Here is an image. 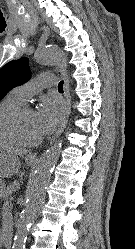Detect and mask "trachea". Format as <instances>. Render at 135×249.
<instances>
[{
  "label": "trachea",
  "instance_id": "obj_1",
  "mask_svg": "<svg viewBox=\"0 0 135 249\" xmlns=\"http://www.w3.org/2000/svg\"><path fill=\"white\" fill-rule=\"evenodd\" d=\"M58 90L63 91V81H60L58 84Z\"/></svg>",
  "mask_w": 135,
  "mask_h": 249
}]
</instances>
